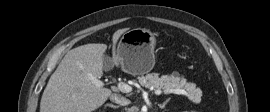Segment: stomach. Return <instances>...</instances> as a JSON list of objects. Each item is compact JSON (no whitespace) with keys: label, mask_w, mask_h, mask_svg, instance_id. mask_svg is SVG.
Here are the masks:
<instances>
[{"label":"stomach","mask_w":270,"mask_h":112,"mask_svg":"<svg viewBox=\"0 0 270 112\" xmlns=\"http://www.w3.org/2000/svg\"><path fill=\"white\" fill-rule=\"evenodd\" d=\"M155 37L147 29L136 28L125 32L117 47V57L124 72L142 75L155 63Z\"/></svg>","instance_id":"1"}]
</instances>
